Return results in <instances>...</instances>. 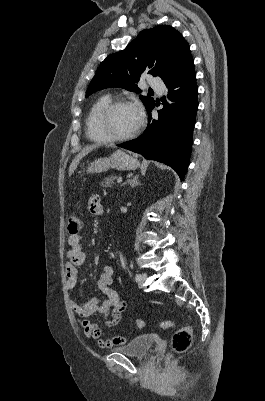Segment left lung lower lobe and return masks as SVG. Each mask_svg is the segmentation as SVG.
Listing matches in <instances>:
<instances>
[{
    "instance_id": "left-lung-lower-lobe-1",
    "label": "left lung lower lobe",
    "mask_w": 265,
    "mask_h": 401,
    "mask_svg": "<svg viewBox=\"0 0 265 401\" xmlns=\"http://www.w3.org/2000/svg\"><path fill=\"white\" fill-rule=\"evenodd\" d=\"M164 83L171 103H166L158 111V119L151 118L155 104L149 108L148 125L144 133L118 146L171 166L183 180L189 163L198 108V87L192 56Z\"/></svg>"
}]
</instances>
